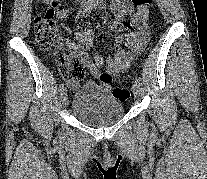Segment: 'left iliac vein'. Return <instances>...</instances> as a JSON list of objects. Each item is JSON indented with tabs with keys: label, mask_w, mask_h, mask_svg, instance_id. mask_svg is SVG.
Here are the masks:
<instances>
[{
	"label": "left iliac vein",
	"mask_w": 207,
	"mask_h": 179,
	"mask_svg": "<svg viewBox=\"0 0 207 179\" xmlns=\"http://www.w3.org/2000/svg\"><path fill=\"white\" fill-rule=\"evenodd\" d=\"M132 91L136 98L140 96V84L138 82H134Z\"/></svg>",
	"instance_id": "1"
}]
</instances>
